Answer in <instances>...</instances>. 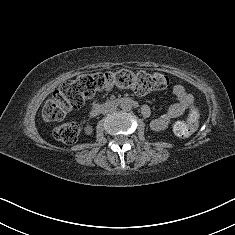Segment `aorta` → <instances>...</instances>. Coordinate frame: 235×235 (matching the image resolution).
Returning <instances> with one entry per match:
<instances>
[{
    "label": "aorta",
    "mask_w": 235,
    "mask_h": 235,
    "mask_svg": "<svg viewBox=\"0 0 235 235\" xmlns=\"http://www.w3.org/2000/svg\"><path fill=\"white\" fill-rule=\"evenodd\" d=\"M122 109L127 110V109H128V106H127L126 104H123V105H122Z\"/></svg>",
    "instance_id": "1"
}]
</instances>
